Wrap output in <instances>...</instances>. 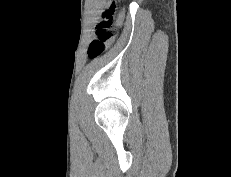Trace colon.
<instances>
[{"label":"colon","mask_w":231,"mask_h":177,"mask_svg":"<svg viewBox=\"0 0 231 177\" xmlns=\"http://www.w3.org/2000/svg\"><path fill=\"white\" fill-rule=\"evenodd\" d=\"M115 9L116 1H113L109 9L103 13L101 20L96 25V35L88 48V55L92 58L105 52L115 40L116 28L113 22Z\"/></svg>","instance_id":"obj_1"}]
</instances>
